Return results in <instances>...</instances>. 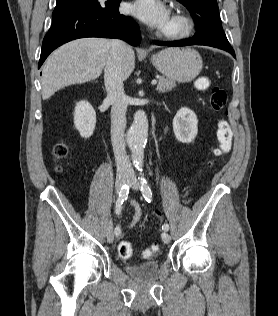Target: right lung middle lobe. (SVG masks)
Segmentation results:
<instances>
[{"mask_svg": "<svg viewBox=\"0 0 278 316\" xmlns=\"http://www.w3.org/2000/svg\"><path fill=\"white\" fill-rule=\"evenodd\" d=\"M80 1H83V0H57L55 8L65 7V6H68L70 4L80 2Z\"/></svg>", "mask_w": 278, "mask_h": 316, "instance_id": "right-lung-middle-lobe-1", "label": "right lung middle lobe"}]
</instances>
